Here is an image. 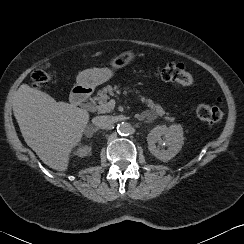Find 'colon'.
I'll use <instances>...</instances> for the list:
<instances>
[{
  "mask_svg": "<svg viewBox=\"0 0 244 244\" xmlns=\"http://www.w3.org/2000/svg\"><path fill=\"white\" fill-rule=\"evenodd\" d=\"M154 75L164 82L174 83L179 86H192L194 78L182 64L167 63L154 71ZM49 67L41 66L32 74V82L35 87H42L50 81ZM197 117L209 124H218L224 117V107L220 98L216 99V104L201 103L196 108Z\"/></svg>",
  "mask_w": 244,
  "mask_h": 244,
  "instance_id": "5ec220e1",
  "label": "colon"
}]
</instances>
